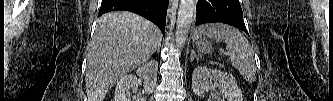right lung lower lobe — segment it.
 I'll list each match as a JSON object with an SVG mask.
<instances>
[{"label": "right lung lower lobe", "mask_w": 333, "mask_h": 101, "mask_svg": "<svg viewBox=\"0 0 333 101\" xmlns=\"http://www.w3.org/2000/svg\"><path fill=\"white\" fill-rule=\"evenodd\" d=\"M167 6L168 0H102L98 17L110 11L134 12L156 24L164 34Z\"/></svg>", "instance_id": "obj_1"}]
</instances>
